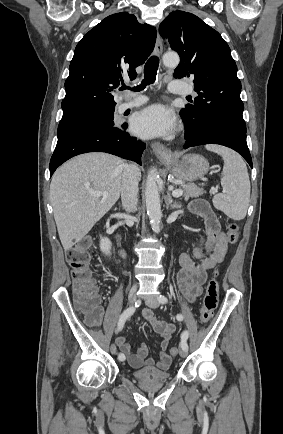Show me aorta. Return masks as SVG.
Returning a JSON list of instances; mask_svg holds the SVG:
<instances>
[{"mask_svg":"<svg viewBox=\"0 0 283 434\" xmlns=\"http://www.w3.org/2000/svg\"><path fill=\"white\" fill-rule=\"evenodd\" d=\"M180 58L177 53H166L163 56V63L168 67H175L179 64ZM158 172L156 168H152L147 177L145 198L147 214L151 222L152 230L159 233L161 230V206L160 196L158 192L157 180Z\"/></svg>","mask_w":283,"mask_h":434,"instance_id":"762f6f07","label":"aorta"}]
</instances>
